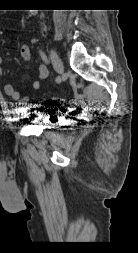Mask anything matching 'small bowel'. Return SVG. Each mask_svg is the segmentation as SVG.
<instances>
[{
    "mask_svg": "<svg viewBox=\"0 0 138 253\" xmlns=\"http://www.w3.org/2000/svg\"><path fill=\"white\" fill-rule=\"evenodd\" d=\"M21 57L24 61L29 62L32 58L30 48L28 46H23L20 50ZM2 57L0 56V77L3 75L2 71ZM38 79L33 81L31 87L33 90H38L41 85V81L46 79L49 75V70L45 65H39L37 69ZM4 92L7 96H9L12 100L21 102L22 104H26L29 101V96H21V93L14 88V86L10 83L4 85Z\"/></svg>",
    "mask_w": 138,
    "mask_h": 253,
    "instance_id": "obj_1",
    "label": "small bowel"
}]
</instances>
